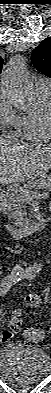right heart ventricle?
Returning <instances> with one entry per match:
<instances>
[{
	"label": "right heart ventricle",
	"mask_w": 51,
	"mask_h": 393,
	"mask_svg": "<svg viewBox=\"0 0 51 393\" xmlns=\"http://www.w3.org/2000/svg\"><path fill=\"white\" fill-rule=\"evenodd\" d=\"M38 107L34 112L21 117L20 133L25 141L43 143L49 140L50 130L46 128L44 111L51 103V89H36Z\"/></svg>",
	"instance_id": "e07e8e85"
}]
</instances>
